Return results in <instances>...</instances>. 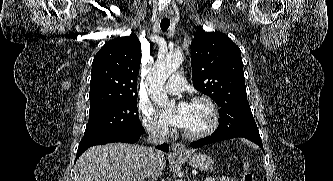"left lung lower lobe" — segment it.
I'll return each mask as SVG.
<instances>
[{"label":"left lung lower lobe","instance_id":"1","mask_svg":"<svg viewBox=\"0 0 333 181\" xmlns=\"http://www.w3.org/2000/svg\"><path fill=\"white\" fill-rule=\"evenodd\" d=\"M234 126H235V123L231 119H219V126H218L217 130L211 136H208L204 139L192 142V143H190V146L193 148H199L204 145L226 140V139L244 137V138H247V139L255 142L257 145H259V147L261 149H263L261 139L232 133L231 131H233Z\"/></svg>","mask_w":333,"mask_h":181}]
</instances>
